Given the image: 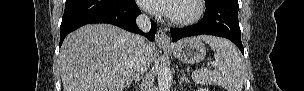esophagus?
Masks as SVG:
<instances>
[{"mask_svg":"<svg viewBox=\"0 0 304 91\" xmlns=\"http://www.w3.org/2000/svg\"><path fill=\"white\" fill-rule=\"evenodd\" d=\"M155 40L159 46L166 47V46H170V44H171L170 37L167 35V33L164 29H159L157 31Z\"/></svg>","mask_w":304,"mask_h":91,"instance_id":"34e87169","label":"esophagus"}]
</instances>
